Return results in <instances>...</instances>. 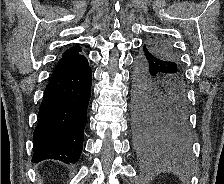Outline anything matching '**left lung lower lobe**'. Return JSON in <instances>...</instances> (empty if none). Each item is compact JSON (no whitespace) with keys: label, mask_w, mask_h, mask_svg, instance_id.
I'll list each match as a JSON object with an SVG mask.
<instances>
[{"label":"left lung lower lobe","mask_w":224,"mask_h":184,"mask_svg":"<svg viewBox=\"0 0 224 184\" xmlns=\"http://www.w3.org/2000/svg\"><path fill=\"white\" fill-rule=\"evenodd\" d=\"M180 73L176 64L157 58L148 47L136 57L133 133L142 152H183L190 147L186 85Z\"/></svg>","instance_id":"1"}]
</instances>
